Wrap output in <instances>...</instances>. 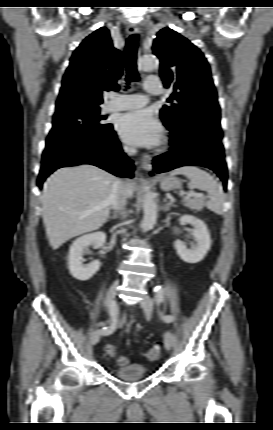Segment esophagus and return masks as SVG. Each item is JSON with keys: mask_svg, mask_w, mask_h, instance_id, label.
Here are the masks:
<instances>
[{"mask_svg": "<svg viewBox=\"0 0 273 430\" xmlns=\"http://www.w3.org/2000/svg\"><path fill=\"white\" fill-rule=\"evenodd\" d=\"M127 32L129 34H138L140 32L138 26L130 24L127 27ZM151 156L147 153L143 154L140 158V166L145 171H150L152 169Z\"/></svg>", "mask_w": 273, "mask_h": 430, "instance_id": "esophagus-1", "label": "esophagus"}]
</instances>
